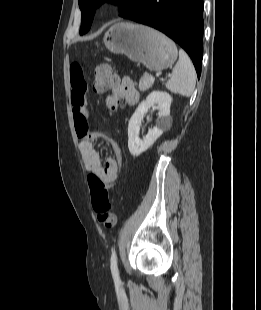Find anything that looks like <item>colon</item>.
<instances>
[{
	"mask_svg": "<svg viewBox=\"0 0 261 310\" xmlns=\"http://www.w3.org/2000/svg\"><path fill=\"white\" fill-rule=\"evenodd\" d=\"M116 76L107 63H100L95 68L93 88L98 93L109 90L116 82ZM119 163H122L121 148L115 144ZM88 184L91 192V200L94 211L97 213L98 221L105 228H113L116 225L117 218L110 212L109 186L96 174L88 176Z\"/></svg>",
	"mask_w": 261,
	"mask_h": 310,
	"instance_id": "colon-1",
	"label": "colon"
}]
</instances>
